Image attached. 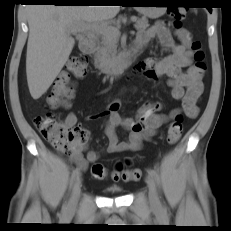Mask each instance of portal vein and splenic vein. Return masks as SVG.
<instances>
[{
    "instance_id": "18ae733b",
    "label": "portal vein and splenic vein",
    "mask_w": 231,
    "mask_h": 231,
    "mask_svg": "<svg viewBox=\"0 0 231 231\" xmlns=\"http://www.w3.org/2000/svg\"><path fill=\"white\" fill-rule=\"evenodd\" d=\"M132 22L136 21V18H131ZM92 30L98 34H104V35H113L115 37L120 36V31L118 28L108 25L107 23H92V24H84L80 28H71L69 29L70 33H76L78 31H87Z\"/></svg>"
}]
</instances>
